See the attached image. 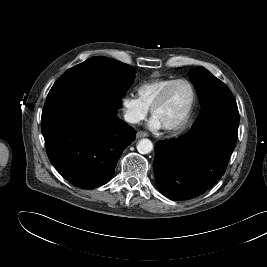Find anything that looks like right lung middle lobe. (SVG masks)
Wrapping results in <instances>:
<instances>
[{
	"label": "right lung middle lobe",
	"mask_w": 267,
	"mask_h": 267,
	"mask_svg": "<svg viewBox=\"0 0 267 267\" xmlns=\"http://www.w3.org/2000/svg\"><path fill=\"white\" fill-rule=\"evenodd\" d=\"M136 70L114 59L97 56L67 70L53 85L43 109L71 98H88L121 108Z\"/></svg>",
	"instance_id": "obj_1"
}]
</instances>
